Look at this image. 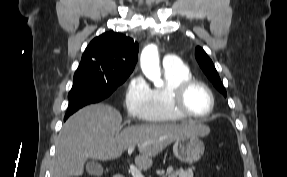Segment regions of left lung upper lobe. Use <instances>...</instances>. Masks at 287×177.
Listing matches in <instances>:
<instances>
[{"instance_id":"1","label":"left lung upper lobe","mask_w":287,"mask_h":177,"mask_svg":"<svg viewBox=\"0 0 287 177\" xmlns=\"http://www.w3.org/2000/svg\"><path fill=\"white\" fill-rule=\"evenodd\" d=\"M195 56L201 69L204 71L210 81L224 96H226V90L223 87V84L219 78V75L215 69L213 62L208 57L206 52L201 47H197L195 51Z\"/></svg>"}]
</instances>
